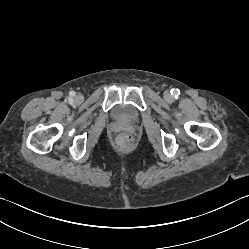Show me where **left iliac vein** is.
Segmentation results:
<instances>
[{
	"label": "left iliac vein",
	"instance_id": "4c4485c4",
	"mask_svg": "<svg viewBox=\"0 0 249 249\" xmlns=\"http://www.w3.org/2000/svg\"><path fill=\"white\" fill-rule=\"evenodd\" d=\"M164 98L168 102H171L173 100L171 93L168 91L164 93Z\"/></svg>",
	"mask_w": 249,
	"mask_h": 249
}]
</instances>
